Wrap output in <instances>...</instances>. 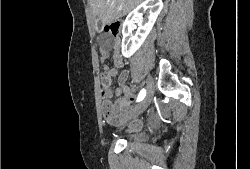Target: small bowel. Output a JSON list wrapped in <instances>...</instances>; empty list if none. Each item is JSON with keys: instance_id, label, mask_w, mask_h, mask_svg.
<instances>
[{"instance_id": "1", "label": "small bowel", "mask_w": 250, "mask_h": 169, "mask_svg": "<svg viewBox=\"0 0 250 169\" xmlns=\"http://www.w3.org/2000/svg\"><path fill=\"white\" fill-rule=\"evenodd\" d=\"M114 48V56L113 61L116 66L120 67L124 64L123 56L118 49L116 45L113 46ZM110 55V48L108 47H102L100 49V62L104 63L106 59ZM117 75V71L115 68H111L108 66L104 67V71L101 74V85H102V99H103V113L104 116L108 119V121L112 124H115L118 119L122 116H124L130 105L135 100V88L133 85H129L127 83L129 72L123 71L120 73L118 77V83L121 87L123 94L120 99H118L116 102H112L111 98L113 95V92L111 90V83L112 78ZM140 128V122L136 119L132 120L129 123V129L131 131H136Z\"/></svg>"}]
</instances>
